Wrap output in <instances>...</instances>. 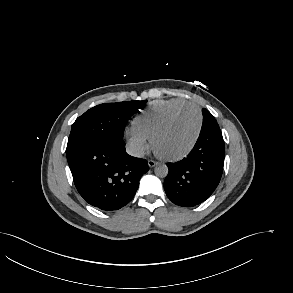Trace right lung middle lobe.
Instances as JSON below:
<instances>
[{
  "instance_id": "right-lung-middle-lobe-1",
  "label": "right lung middle lobe",
  "mask_w": 293,
  "mask_h": 293,
  "mask_svg": "<svg viewBox=\"0 0 293 293\" xmlns=\"http://www.w3.org/2000/svg\"><path fill=\"white\" fill-rule=\"evenodd\" d=\"M146 102L105 103L89 109L73 123L66 155L97 140L110 137L122 139L128 120Z\"/></svg>"
}]
</instances>
